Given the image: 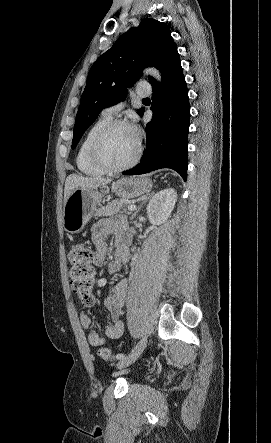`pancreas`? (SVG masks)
<instances>
[{"label": "pancreas", "instance_id": "obj_1", "mask_svg": "<svg viewBox=\"0 0 271 443\" xmlns=\"http://www.w3.org/2000/svg\"><path fill=\"white\" fill-rule=\"evenodd\" d=\"M129 206L128 202L124 200H113L112 204H107V206H101L99 210H96L95 216H114L118 212H127L126 208ZM131 214V212H127Z\"/></svg>", "mask_w": 271, "mask_h": 443}]
</instances>
